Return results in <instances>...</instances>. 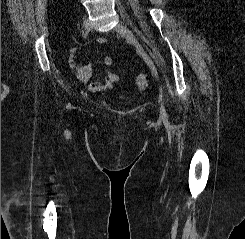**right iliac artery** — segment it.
I'll return each instance as SVG.
<instances>
[{"mask_svg": "<svg viewBox=\"0 0 245 239\" xmlns=\"http://www.w3.org/2000/svg\"><path fill=\"white\" fill-rule=\"evenodd\" d=\"M90 32V29H87L86 31H83L82 36L86 38Z\"/></svg>", "mask_w": 245, "mask_h": 239, "instance_id": "obj_1", "label": "right iliac artery"}]
</instances>
